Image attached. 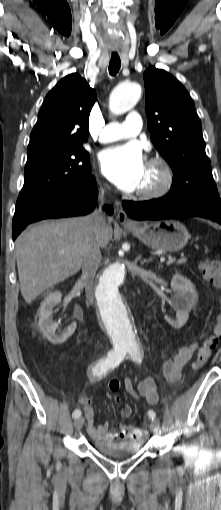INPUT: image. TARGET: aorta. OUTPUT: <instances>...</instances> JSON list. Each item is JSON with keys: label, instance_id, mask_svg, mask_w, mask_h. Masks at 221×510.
Returning <instances> with one entry per match:
<instances>
[{"label": "aorta", "instance_id": "obj_1", "mask_svg": "<svg viewBox=\"0 0 221 510\" xmlns=\"http://www.w3.org/2000/svg\"><path fill=\"white\" fill-rule=\"evenodd\" d=\"M141 92V86L137 83L119 84L110 95V111L121 115L131 110L140 99ZM125 280L124 265L114 262L100 275L94 289L103 326L114 348L135 350L140 347V341L130 308L121 290Z\"/></svg>", "mask_w": 221, "mask_h": 510}]
</instances>
